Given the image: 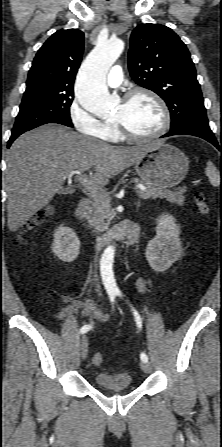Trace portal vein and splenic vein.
Listing matches in <instances>:
<instances>
[{
    "instance_id": "18ae733b",
    "label": "portal vein and splenic vein",
    "mask_w": 222,
    "mask_h": 447,
    "mask_svg": "<svg viewBox=\"0 0 222 447\" xmlns=\"http://www.w3.org/2000/svg\"><path fill=\"white\" fill-rule=\"evenodd\" d=\"M73 174H78V175H80V172H79V171H74V172H72L69 176L71 177ZM78 180H79L80 184H81L86 190H88L93 196H96V195H100V196H109L108 193L105 192V191H104L103 189H101L100 187H98V186L96 185V183H94V182H92V181H90V180H88V179L81 178V177H79V176H78ZM136 187H137V189H138L136 192H139V191H145V190H146V187H144L143 185H140V184H138Z\"/></svg>"
}]
</instances>
